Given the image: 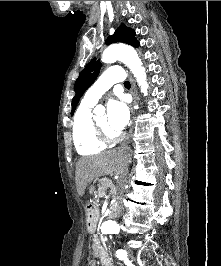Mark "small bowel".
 I'll return each instance as SVG.
<instances>
[{
    "mask_svg": "<svg viewBox=\"0 0 221 266\" xmlns=\"http://www.w3.org/2000/svg\"><path fill=\"white\" fill-rule=\"evenodd\" d=\"M91 254L94 257H98L103 266H114L106 245L103 244L101 238L97 235H94L91 239ZM90 266H95L93 260L90 261Z\"/></svg>",
    "mask_w": 221,
    "mask_h": 266,
    "instance_id": "1",
    "label": "small bowel"
}]
</instances>
